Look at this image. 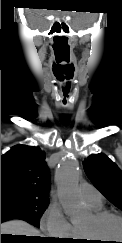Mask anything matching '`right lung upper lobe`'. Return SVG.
I'll use <instances>...</instances> for the list:
<instances>
[{
	"mask_svg": "<svg viewBox=\"0 0 122 243\" xmlns=\"http://www.w3.org/2000/svg\"><path fill=\"white\" fill-rule=\"evenodd\" d=\"M49 172L39 147L16 145L1 156V196L48 198Z\"/></svg>",
	"mask_w": 122,
	"mask_h": 243,
	"instance_id": "1",
	"label": "right lung upper lobe"
}]
</instances>
